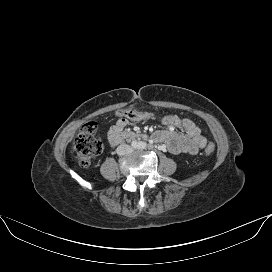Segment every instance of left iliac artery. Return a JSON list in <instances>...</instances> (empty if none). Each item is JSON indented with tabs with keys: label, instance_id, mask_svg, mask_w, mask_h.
<instances>
[{
	"label": "left iliac artery",
	"instance_id": "left-iliac-artery-1",
	"mask_svg": "<svg viewBox=\"0 0 272 272\" xmlns=\"http://www.w3.org/2000/svg\"><path fill=\"white\" fill-rule=\"evenodd\" d=\"M139 149H146L147 148V144L145 142H140L138 145Z\"/></svg>",
	"mask_w": 272,
	"mask_h": 272
}]
</instances>
